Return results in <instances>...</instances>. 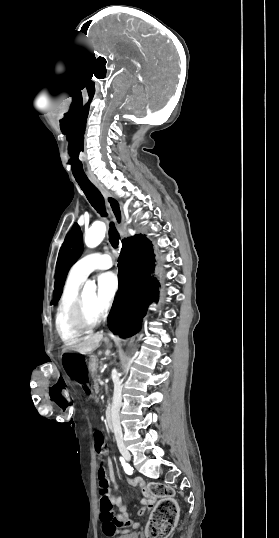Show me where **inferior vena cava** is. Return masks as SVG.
<instances>
[{"mask_svg": "<svg viewBox=\"0 0 279 538\" xmlns=\"http://www.w3.org/2000/svg\"><path fill=\"white\" fill-rule=\"evenodd\" d=\"M113 373H117L116 370L114 369L112 371ZM114 382V397H113V405H112V413H111V418H112V423H113V427H114V430H112V432L115 433V437H116V440H117V444H118V447H119V450L121 452V454L123 455V457L127 460L130 459V454L129 452H127V447H125L124 443H123V434H122V437H121V433H122V429H121V425L123 422H120V416L118 414V411L121 407V400H122V397H121V391H122V386H120V384L122 383V381H119V379H115L113 380ZM122 457V458H123Z\"/></svg>", "mask_w": 279, "mask_h": 538, "instance_id": "602c4592", "label": "inferior vena cava"}]
</instances>
